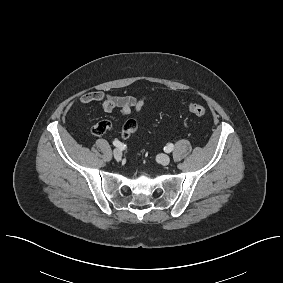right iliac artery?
<instances>
[{
	"instance_id": "1",
	"label": "right iliac artery",
	"mask_w": 283,
	"mask_h": 283,
	"mask_svg": "<svg viewBox=\"0 0 283 283\" xmlns=\"http://www.w3.org/2000/svg\"><path fill=\"white\" fill-rule=\"evenodd\" d=\"M113 145L120 148L121 150H123L125 147V145L119 142L118 140L113 141Z\"/></svg>"
}]
</instances>
